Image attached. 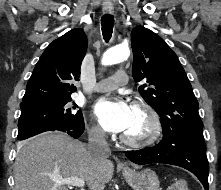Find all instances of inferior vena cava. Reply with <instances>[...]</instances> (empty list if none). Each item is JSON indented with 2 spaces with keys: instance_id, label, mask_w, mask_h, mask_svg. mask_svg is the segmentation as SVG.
<instances>
[{
  "instance_id": "obj_1",
  "label": "inferior vena cava",
  "mask_w": 221,
  "mask_h": 190,
  "mask_svg": "<svg viewBox=\"0 0 221 190\" xmlns=\"http://www.w3.org/2000/svg\"><path fill=\"white\" fill-rule=\"evenodd\" d=\"M87 150L95 160H105L111 151L106 140V134L100 127H94L88 132Z\"/></svg>"
}]
</instances>
